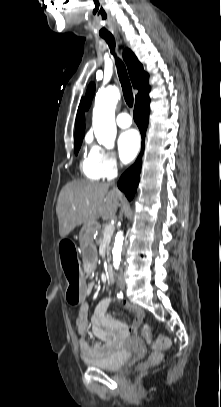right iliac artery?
I'll return each mask as SVG.
<instances>
[{
    "label": "right iliac artery",
    "mask_w": 221,
    "mask_h": 407,
    "mask_svg": "<svg viewBox=\"0 0 221 407\" xmlns=\"http://www.w3.org/2000/svg\"><path fill=\"white\" fill-rule=\"evenodd\" d=\"M117 297H122V293H121V292L118 293V294H117Z\"/></svg>",
    "instance_id": "1"
}]
</instances>
